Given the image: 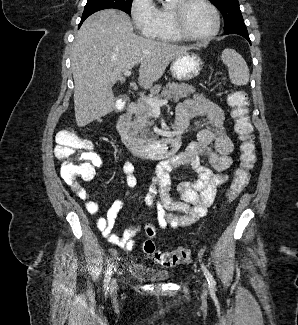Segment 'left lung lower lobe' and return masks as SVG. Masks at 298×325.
Here are the masks:
<instances>
[{
    "instance_id": "0a47b994",
    "label": "left lung lower lobe",
    "mask_w": 298,
    "mask_h": 325,
    "mask_svg": "<svg viewBox=\"0 0 298 325\" xmlns=\"http://www.w3.org/2000/svg\"><path fill=\"white\" fill-rule=\"evenodd\" d=\"M225 34H238L243 36L244 38H246L249 43H251L250 39H249V34L247 32L246 26H239V27H235L232 28L228 31H225Z\"/></svg>"
}]
</instances>
